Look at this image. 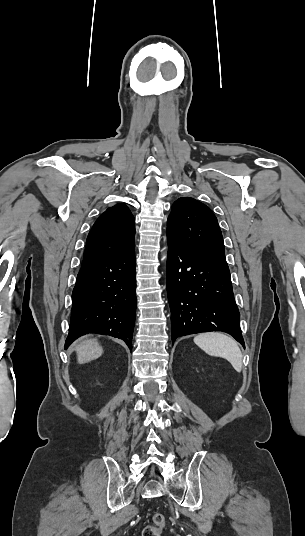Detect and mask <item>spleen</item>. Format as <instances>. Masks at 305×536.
I'll use <instances>...</instances> for the list:
<instances>
[{
    "label": "spleen",
    "instance_id": "obj_1",
    "mask_svg": "<svg viewBox=\"0 0 305 536\" xmlns=\"http://www.w3.org/2000/svg\"><path fill=\"white\" fill-rule=\"evenodd\" d=\"M196 346L204 350L209 356H217V358H225L230 362L236 372L242 370V354L241 350L232 338L219 334V332H208V334H199L194 338Z\"/></svg>",
    "mask_w": 305,
    "mask_h": 536
}]
</instances>
